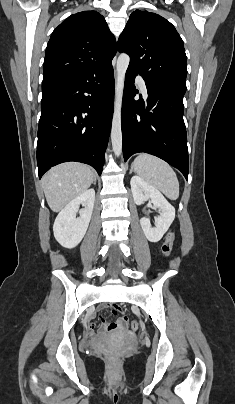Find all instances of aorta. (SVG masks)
Returning <instances> with one entry per match:
<instances>
[{"mask_svg":"<svg viewBox=\"0 0 235 404\" xmlns=\"http://www.w3.org/2000/svg\"><path fill=\"white\" fill-rule=\"evenodd\" d=\"M130 62V57L123 53L117 59V79L115 85L114 114L111 129V141L114 154L119 156L122 152V130H121V107L124 89L125 74Z\"/></svg>","mask_w":235,"mask_h":404,"instance_id":"1","label":"aorta"}]
</instances>
